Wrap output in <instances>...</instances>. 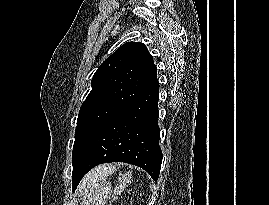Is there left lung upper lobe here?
I'll use <instances>...</instances> for the list:
<instances>
[{
    "label": "left lung upper lobe",
    "mask_w": 269,
    "mask_h": 205,
    "mask_svg": "<svg viewBox=\"0 0 269 205\" xmlns=\"http://www.w3.org/2000/svg\"><path fill=\"white\" fill-rule=\"evenodd\" d=\"M156 72L152 55L140 42L123 44L100 65L79 111L73 169L100 128L147 88L157 78Z\"/></svg>",
    "instance_id": "left-lung-upper-lobe-1"
}]
</instances>
